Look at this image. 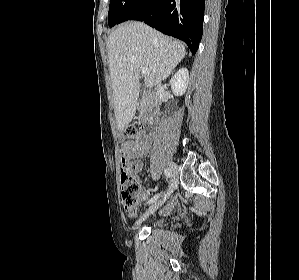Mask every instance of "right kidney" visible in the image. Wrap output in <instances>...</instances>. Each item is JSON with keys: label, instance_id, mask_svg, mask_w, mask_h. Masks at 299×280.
Here are the masks:
<instances>
[{"label": "right kidney", "instance_id": "right-kidney-1", "mask_svg": "<svg viewBox=\"0 0 299 280\" xmlns=\"http://www.w3.org/2000/svg\"><path fill=\"white\" fill-rule=\"evenodd\" d=\"M189 82V72L186 68L179 69L170 80L172 92L176 96H182L187 89Z\"/></svg>", "mask_w": 299, "mask_h": 280}]
</instances>
